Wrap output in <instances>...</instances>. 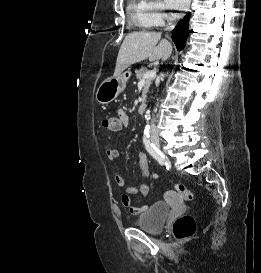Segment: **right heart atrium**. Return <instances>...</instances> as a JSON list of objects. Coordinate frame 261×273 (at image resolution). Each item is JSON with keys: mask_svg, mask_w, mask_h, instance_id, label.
I'll use <instances>...</instances> for the list:
<instances>
[{"mask_svg": "<svg viewBox=\"0 0 261 273\" xmlns=\"http://www.w3.org/2000/svg\"><path fill=\"white\" fill-rule=\"evenodd\" d=\"M146 9L151 27H159L171 18L170 14L165 11L164 4L158 0H148Z\"/></svg>", "mask_w": 261, "mask_h": 273, "instance_id": "right-heart-atrium-1", "label": "right heart atrium"}]
</instances>
